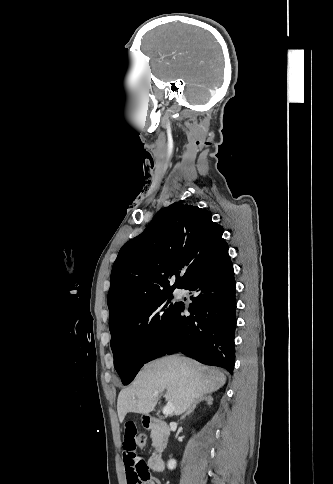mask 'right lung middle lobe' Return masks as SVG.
Returning a JSON list of instances; mask_svg holds the SVG:
<instances>
[{"label":"right lung middle lobe","mask_w":333,"mask_h":484,"mask_svg":"<svg viewBox=\"0 0 333 484\" xmlns=\"http://www.w3.org/2000/svg\"><path fill=\"white\" fill-rule=\"evenodd\" d=\"M167 293L145 303L112 326L111 349L114 367L123 384H129L147 357L167 332L179 308Z\"/></svg>","instance_id":"dd1d6c3e"}]
</instances>
